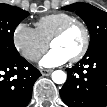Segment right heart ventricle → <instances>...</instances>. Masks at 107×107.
Here are the masks:
<instances>
[{
    "label": "right heart ventricle",
    "mask_w": 107,
    "mask_h": 107,
    "mask_svg": "<svg viewBox=\"0 0 107 107\" xmlns=\"http://www.w3.org/2000/svg\"><path fill=\"white\" fill-rule=\"evenodd\" d=\"M75 19L71 14L57 12L41 17L35 22V30L40 38L49 43L53 34L66 22Z\"/></svg>",
    "instance_id": "e07e8e85"
}]
</instances>
